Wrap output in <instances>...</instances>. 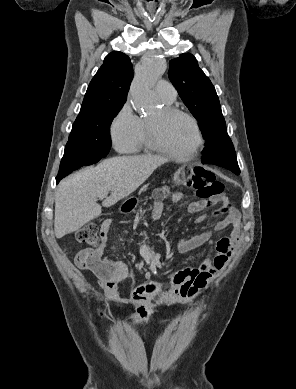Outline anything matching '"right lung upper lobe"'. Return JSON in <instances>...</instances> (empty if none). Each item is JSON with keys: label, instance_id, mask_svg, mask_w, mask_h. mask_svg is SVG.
I'll list each match as a JSON object with an SVG mask.
<instances>
[{"label": "right lung upper lobe", "instance_id": "cb5924a9", "mask_svg": "<svg viewBox=\"0 0 296 389\" xmlns=\"http://www.w3.org/2000/svg\"><path fill=\"white\" fill-rule=\"evenodd\" d=\"M133 78L130 58L124 53H109L90 82L77 118L123 106Z\"/></svg>", "mask_w": 296, "mask_h": 389}]
</instances>
